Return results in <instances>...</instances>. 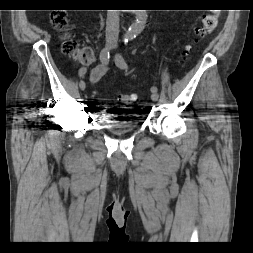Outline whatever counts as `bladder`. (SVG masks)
<instances>
[{"mask_svg":"<svg viewBox=\"0 0 253 253\" xmlns=\"http://www.w3.org/2000/svg\"><path fill=\"white\" fill-rule=\"evenodd\" d=\"M116 111L102 112L100 128L114 133H128L136 131L140 127V122L133 116L125 113L124 107H116Z\"/></svg>","mask_w":253,"mask_h":253,"instance_id":"1","label":"bladder"}]
</instances>
